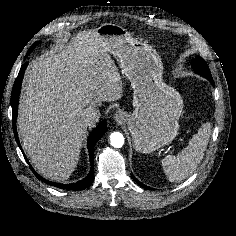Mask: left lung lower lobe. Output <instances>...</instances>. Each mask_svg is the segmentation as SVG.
Here are the masks:
<instances>
[{
    "label": "left lung lower lobe",
    "mask_w": 236,
    "mask_h": 236,
    "mask_svg": "<svg viewBox=\"0 0 236 236\" xmlns=\"http://www.w3.org/2000/svg\"><path fill=\"white\" fill-rule=\"evenodd\" d=\"M205 78H207L211 82V84L214 86V81H213L212 77H205ZM132 177L140 186H142V187H144L146 189H151L150 187H148V186L142 184L140 181H138L133 175H132Z\"/></svg>",
    "instance_id": "1"
}]
</instances>
